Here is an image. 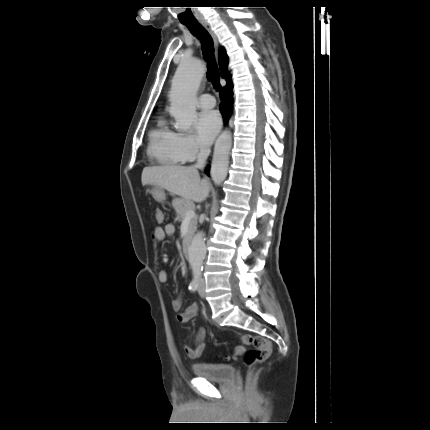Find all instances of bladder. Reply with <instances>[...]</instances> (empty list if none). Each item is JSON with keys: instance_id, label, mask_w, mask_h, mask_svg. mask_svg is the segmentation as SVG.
Instances as JSON below:
<instances>
[{"instance_id": "bladder-1", "label": "bladder", "mask_w": 430, "mask_h": 430, "mask_svg": "<svg viewBox=\"0 0 430 430\" xmlns=\"http://www.w3.org/2000/svg\"><path fill=\"white\" fill-rule=\"evenodd\" d=\"M192 370L195 376L218 383H228L236 374L235 367L229 364L197 363Z\"/></svg>"}]
</instances>
